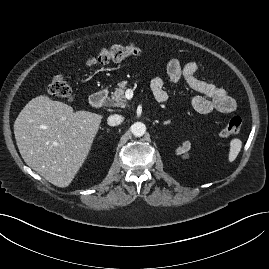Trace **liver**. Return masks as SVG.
I'll list each match as a JSON object with an SVG mask.
<instances>
[{
  "label": "liver",
  "instance_id": "6515ba94",
  "mask_svg": "<svg viewBox=\"0 0 269 269\" xmlns=\"http://www.w3.org/2000/svg\"><path fill=\"white\" fill-rule=\"evenodd\" d=\"M103 116L74 111L40 95L29 101L14 123L25 163L58 187H67L85 162Z\"/></svg>",
  "mask_w": 269,
  "mask_h": 269
}]
</instances>
